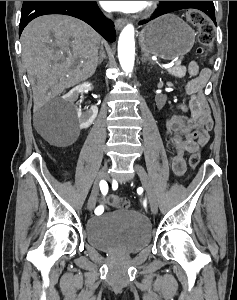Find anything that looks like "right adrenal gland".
Instances as JSON below:
<instances>
[{
	"label": "right adrenal gland",
	"instance_id": "2a0ac1e0",
	"mask_svg": "<svg viewBox=\"0 0 237 300\" xmlns=\"http://www.w3.org/2000/svg\"><path fill=\"white\" fill-rule=\"evenodd\" d=\"M103 59H106V55H105V51H104V47H100V57L98 59V65H101Z\"/></svg>",
	"mask_w": 237,
	"mask_h": 300
}]
</instances>
